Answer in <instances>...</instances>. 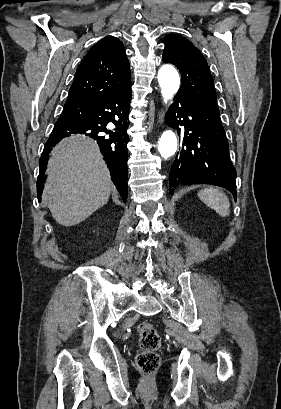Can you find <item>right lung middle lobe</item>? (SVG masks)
Returning a JSON list of instances; mask_svg holds the SVG:
<instances>
[{
	"instance_id": "dd1d6c3e",
	"label": "right lung middle lobe",
	"mask_w": 281,
	"mask_h": 409,
	"mask_svg": "<svg viewBox=\"0 0 281 409\" xmlns=\"http://www.w3.org/2000/svg\"><path fill=\"white\" fill-rule=\"evenodd\" d=\"M69 121H75V119L74 118L60 117L57 122H69Z\"/></svg>"
}]
</instances>
